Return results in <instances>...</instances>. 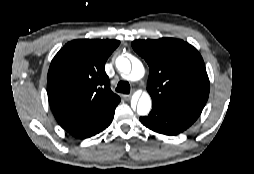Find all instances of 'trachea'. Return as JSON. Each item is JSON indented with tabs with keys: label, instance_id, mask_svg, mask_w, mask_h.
Returning a JSON list of instances; mask_svg holds the SVG:
<instances>
[{
	"label": "trachea",
	"instance_id": "1",
	"mask_svg": "<svg viewBox=\"0 0 254 174\" xmlns=\"http://www.w3.org/2000/svg\"><path fill=\"white\" fill-rule=\"evenodd\" d=\"M116 91L124 94L130 93V84L127 81H120L117 84Z\"/></svg>",
	"mask_w": 254,
	"mask_h": 174
}]
</instances>
